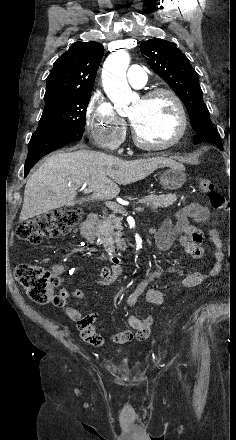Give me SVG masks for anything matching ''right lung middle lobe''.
Masks as SVG:
<instances>
[{
  "label": "right lung middle lobe",
  "instance_id": "right-lung-middle-lobe-1",
  "mask_svg": "<svg viewBox=\"0 0 236 440\" xmlns=\"http://www.w3.org/2000/svg\"><path fill=\"white\" fill-rule=\"evenodd\" d=\"M90 96V93L78 94L71 98L45 103L36 132L73 131L83 133Z\"/></svg>",
  "mask_w": 236,
  "mask_h": 440
}]
</instances>
